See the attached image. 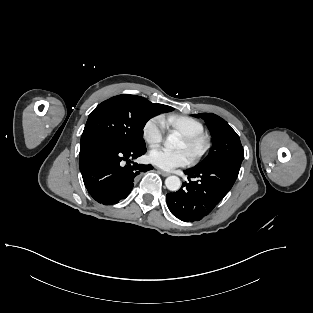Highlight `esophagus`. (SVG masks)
Masks as SVG:
<instances>
[{"mask_svg": "<svg viewBox=\"0 0 313 313\" xmlns=\"http://www.w3.org/2000/svg\"><path fill=\"white\" fill-rule=\"evenodd\" d=\"M158 173L161 174V175L164 176V177H167V176L170 175V173L165 172V171H162V170H160V169H158Z\"/></svg>", "mask_w": 313, "mask_h": 313, "instance_id": "1", "label": "esophagus"}]
</instances>
